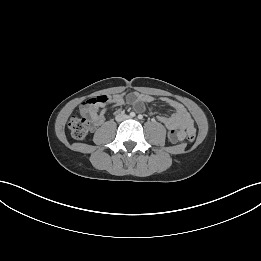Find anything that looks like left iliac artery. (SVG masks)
<instances>
[{"label": "left iliac artery", "instance_id": "obj_1", "mask_svg": "<svg viewBox=\"0 0 261 261\" xmlns=\"http://www.w3.org/2000/svg\"><path fill=\"white\" fill-rule=\"evenodd\" d=\"M143 118V116L142 115H138V119H142Z\"/></svg>", "mask_w": 261, "mask_h": 261}]
</instances>
